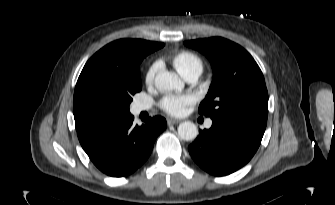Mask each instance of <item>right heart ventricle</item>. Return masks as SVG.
I'll return each instance as SVG.
<instances>
[{
    "label": "right heart ventricle",
    "mask_w": 335,
    "mask_h": 205,
    "mask_svg": "<svg viewBox=\"0 0 335 205\" xmlns=\"http://www.w3.org/2000/svg\"><path fill=\"white\" fill-rule=\"evenodd\" d=\"M177 71L184 77L190 73H201L203 70L202 58L191 51H181L172 58Z\"/></svg>",
    "instance_id": "right-heart-ventricle-1"
}]
</instances>
